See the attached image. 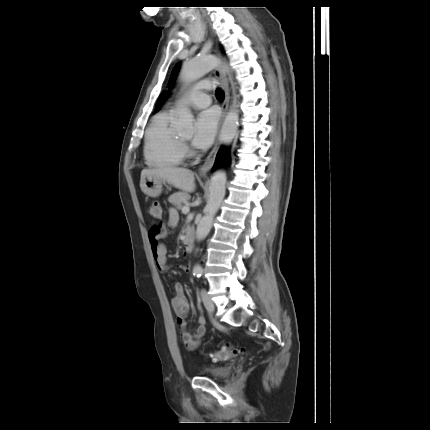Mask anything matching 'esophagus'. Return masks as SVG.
I'll return each mask as SVG.
<instances>
[{
  "label": "esophagus",
  "mask_w": 430,
  "mask_h": 430,
  "mask_svg": "<svg viewBox=\"0 0 430 430\" xmlns=\"http://www.w3.org/2000/svg\"><path fill=\"white\" fill-rule=\"evenodd\" d=\"M214 74L221 81V83L223 85L224 93H225V98H224V101L222 103V122H223L226 115H227L229 101H230L229 85H228L227 78L225 77V74L222 72V70L220 68H216L214 70ZM218 149H219V141L217 138L213 149L211 150V152L207 156L205 162L203 163V165L199 169L200 175H206L211 170L212 166L214 165Z\"/></svg>",
  "instance_id": "esophagus-1"
}]
</instances>
